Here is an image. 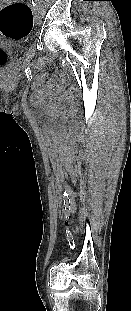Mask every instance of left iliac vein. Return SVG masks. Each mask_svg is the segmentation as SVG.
Here are the masks:
<instances>
[{"label": "left iliac vein", "mask_w": 131, "mask_h": 311, "mask_svg": "<svg viewBox=\"0 0 131 311\" xmlns=\"http://www.w3.org/2000/svg\"><path fill=\"white\" fill-rule=\"evenodd\" d=\"M40 18H41V16L39 15V16H38V19H40Z\"/></svg>", "instance_id": "left-iliac-vein-1"}]
</instances>
